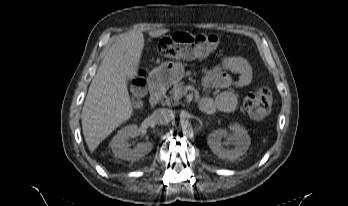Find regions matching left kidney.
<instances>
[{
  "label": "left kidney",
  "instance_id": "obj_1",
  "mask_svg": "<svg viewBox=\"0 0 348 206\" xmlns=\"http://www.w3.org/2000/svg\"><path fill=\"white\" fill-rule=\"evenodd\" d=\"M226 141L222 143V139ZM207 144L212 152L221 159H237L248 150L251 139L247 131L241 125L235 123L227 130H215L207 138ZM234 145V148L224 147Z\"/></svg>",
  "mask_w": 348,
  "mask_h": 206
}]
</instances>
